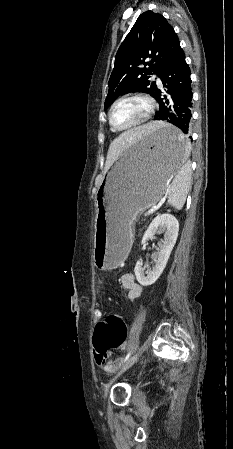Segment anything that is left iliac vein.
<instances>
[{
    "label": "left iliac vein",
    "instance_id": "obj_1",
    "mask_svg": "<svg viewBox=\"0 0 233 449\" xmlns=\"http://www.w3.org/2000/svg\"><path fill=\"white\" fill-rule=\"evenodd\" d=\"M140 356V352H137L135 355H133L131 358H129L124 365L122 366V368L120 369V371L114 376V378L106 385L105 387V391H104V397L106 398L110 389V386L112 385V383L121 375L123 374L125 371H127L139 358Z\"/></svg>",
    "mask_w": 233,
    "mask_h": 449
}]
</instances>
